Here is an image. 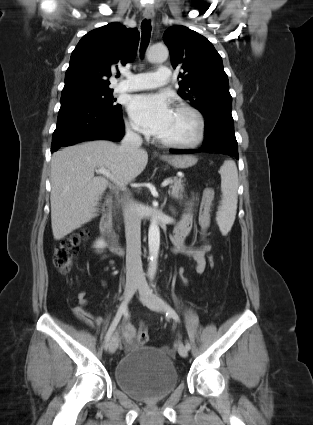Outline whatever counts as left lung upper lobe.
I'll return each instance as SVG.
<instances>
[{
	"label": "left lung upper lobe",
	"mask_w": 313,
	"mask_h": 425,
	"mask_svg": "<svg viewBox=\"0 0 313 425\" xmlns=\"http://www.w3.org/2000/svg\"><path fill=\"white\" fill-rule=\"evenodd\" d=\"M173 68H181L178 94L190 101L205 119L232 118V97L222 58L204 36L185 26L164 33Z\"/></svg>",
	"instance_id": "obj_1"
}]
</instances>
